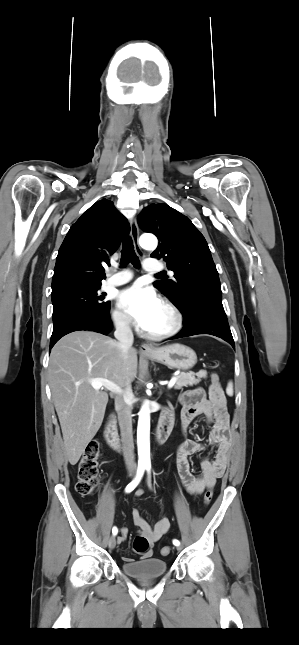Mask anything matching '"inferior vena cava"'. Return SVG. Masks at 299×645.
<instances>
[{
    "label": "inferior vena cava",
    "instance_id": "inferior-vena-cava-1",
    "mask_svg": "<svg viewBox=\"0 0 299 645\" xmlns=\"http://www.w3.org/2000/svg\"><path fill=\"white\" fill-rule=\"evenodd\" d=\"M116 331L114 336L117 339V347L125 357L128 350L132 347L134 337L127 317H119L115 320ZM127 395L116 399V408L118 410V421L120 426L121 438L123 443L124 460L127 469L134 471L136 469L134 456V443L132 432V411L128 404L131 392V384L127 381L125 385Z\"/></svg>",
    "mask_w": 299,
    "mask_h": 645
}]
</instances>
